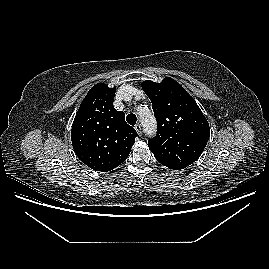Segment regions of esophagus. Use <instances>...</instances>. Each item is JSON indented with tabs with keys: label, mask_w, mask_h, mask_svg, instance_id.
<instances>
[{
	"label": "esophagus",
	"mask_w": 269,
	"mask_h": 269,
	"mask_svg": "<svg viewBox=\"0 0 269 269\" xmlns=\"http://www.w3.org/2000/svg\"><path fill=\"white\" fill-rule=\"evenodd\" d=\"M135 130L137 131V133L141 136L142 135V125L141 124H136L135 125Z\"/></svg>",
	"instance_id": "obj_1"
}]
</instances>
